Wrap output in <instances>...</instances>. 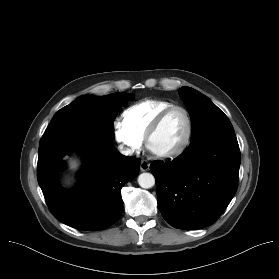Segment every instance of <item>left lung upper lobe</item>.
Here are the masks:
<instances>
[{"mask_svg":"<svg viewBox=\"0 0 279 279\" xmlns=\"http://www.w3.org/2000/svg\"><path fill=\"white\" fill-rule=\"evenodd\" d=\"M179 95L191 116V142L212 133L234 132L228 117L205 95L190 87H182Z\"/></svg>","mask_w":279,"mask_h":279,"instance_id":"1","label":"left lung upper lobe"}]
</instances>
